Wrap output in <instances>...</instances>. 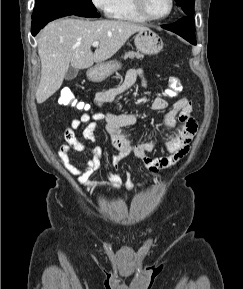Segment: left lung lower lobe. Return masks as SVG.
I'll use <instances>...</instances> for the list:
<instances>
[{
	"instance_id": "0a47b994",
	"label": "left lung lower lobe",
	"mask_w": 243,
	"mask_h": 289,
	"mask_svg": "<svg viewBox=\"0 0 243 289\" xmlns=\"http://www.w3.org/2000/svg\"><path fill=\"white\" fill-rule=\"evenodd\" d=\"M162 28L170 30L193 45H196V40H195V28H194V20L192 17H188L185 19H182L176 23L170 24V25H162Z\"/></svg>"
}]
</instances>
